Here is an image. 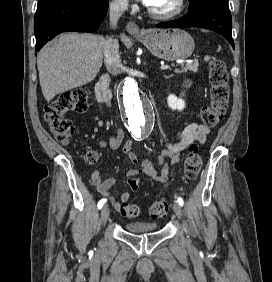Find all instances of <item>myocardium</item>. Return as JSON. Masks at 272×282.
Masks as SVG:
<instances>
[{"label": "myocardium", "instance_id": "myocardium-1", "mask_svg": "<svg viewBox=\"0 0 272 282\" xmlns=\"http://www.w3.org/2000/svg\"><path fill=\"white\" fill-rule=\"evenodd\" d=\"M186 9V0H178V7L176 10L169 13H161L148 8V12L151 16L159 19H173L180 16Z\"/></svg>", "mask_w": 272, "mask_h": 282}]
</instances>
